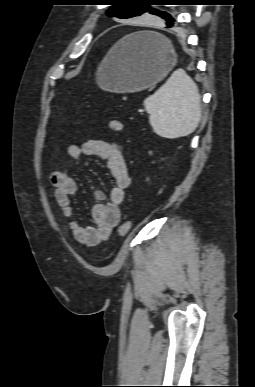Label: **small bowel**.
Returning <instances> with one entry per match:
<instances>
[{
	"mask_svg": "<svg viewBox=\"0 0 255 387\" xmlns=\"http://www.w3.org/2000/svg\"><path fill=\"white\" fill-rule=\"evenodd\" d=\"M67 154L73 159L97 156L107 161V167L114 179V186L105 203V195L96 190V203L92 207L93 226H82L74 218L71 197L78 191L77 182L73 177L61 171L50 174V182L54 189V199L61 210L63 219L77 242L85 246H96L110 238L113 229L121 220L120 205L125 199L126 190L130 186V176L124 158L123 148L106 140H88L81 145H69Z\"/></svg>",
	"mask_w": 255,
	"mask_h": 387,
	"instance_id": "small-bowel-1",
	"label": "small bowel"
}]
</instances>
